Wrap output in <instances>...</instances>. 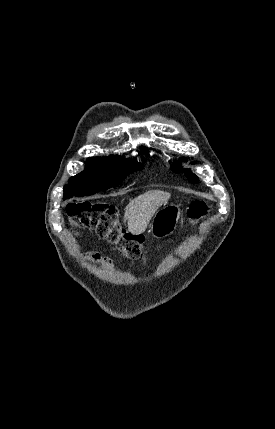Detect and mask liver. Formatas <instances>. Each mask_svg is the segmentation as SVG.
<instances>
[{"mask_svg":"<svg viewBox=\"0 0 275 429\" xmlns=\"http://www.w3.org/2000/svg\"><path fill=\"white\" fill-rule=\"evenodd\" d=\"M170 197L169 192L152 190L134 198L125 208L124 214L129 232L134 235L143 233L157 209Z\"/></svg>","mask_w":275,"mask_h":429,"instance_id":"1","label":"liver"}]
</instances>
